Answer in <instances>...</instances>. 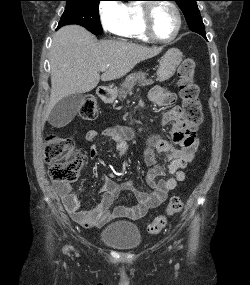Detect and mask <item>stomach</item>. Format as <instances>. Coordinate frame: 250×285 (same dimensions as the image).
I'll list each match as a JSON object with an SVG mask.
<instances>
[{
    "instance_id": "stomach-1",
    "label": "stomach",
    "mask_w": 250,
    "mask_h": 285,
    "mask_svg": "<svg viewBox=\"0 0 250 285\" xmlns=\"http://www.w3.org/2000/svg\"><path fill=\"white\" fill-rule=\"evenodd\" d=\"M182 53L179 49L171 48L162 57L158 70L157 80L164 82L169 80L174 74L182 61Z\"/></svg>"
}]
</instances>
